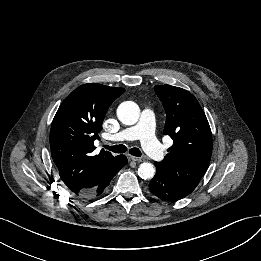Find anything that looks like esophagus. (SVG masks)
I'll return each mask as SVG.
<instances>
[{"label":"esophagus","mask_w":261,"mask_h":261,"mask_svg":"<svg viewBox=\"0 0 261 261\" xmlns=\"http://www.w3.org/2000/svg\"><path fill=\"white\" fill-rule=\"evenodd\" d=\"M130 159L135 161V162H143L144 159L141 157H136V156H130Z\"/></svg>","instance_id":"34e87169"}]
</instances>
